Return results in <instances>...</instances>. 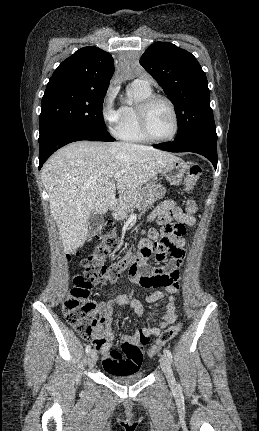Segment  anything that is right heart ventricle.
Masks as SVG:
<instances>
[{
  "instance_id": "1",
  "label": "right heart ventricle",
  "mask_w": 259,
  "mask_h": 431,
  "mask_svg": "<svg viewBox=\"0 0 259 431\" xmlns=\"http://www.w3.org/2000/svg\"><path fill=\"white\" fill-rule=\"evenodd\" d=\"M130 102L120 108V121L115 129V135L130 143H147L148 140L142 134L138 122V106L145 98L152 94L150 88H142L131 85L129 88Z\"/></svg>"
}]
</instances>
